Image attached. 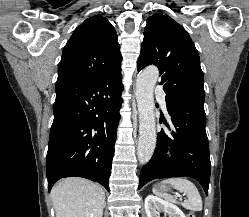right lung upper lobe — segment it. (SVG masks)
<instances>
[{"label": "right lung upper lobe", "mask_w": 249, "mask_h": 217, "mask_svg": "<svg viewBox=\"0 0 249 217\" xmlns=\"http://www.w3.org/2000/svg\"><path fill=\"white\" fill-rule=\"evenodd\" d=\"M121 61L114 27L101 15L90 17L75 29L65 45L56 84L102 79L120 71Z\"/></svg>", "instance_id": "cb5924a9"}]
</instances>
